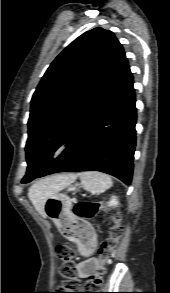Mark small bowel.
<instances>
[{"label":"small bowel","instance_id":"obj_1","mask_svg":"<svg viewBox=\"0 0 170 293\" xmlns=\"http://www.w3.org/2000/svg\"><path fill=\"white\" fill-rule=\"evenodd\" d=\"M70 240L77 244L81 251L87 252L86 248L81 244L80 240L76 237H71ZM100 265V262L95 257L87 258L76 265L77 275L81 278L91 277L95 270Z\"/></svg>","mask_w":170,"mask_h":293}]
</instances>
